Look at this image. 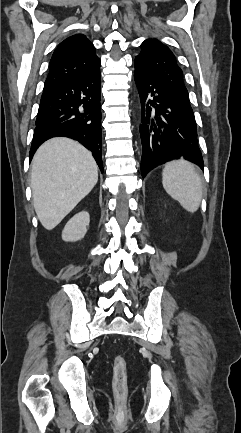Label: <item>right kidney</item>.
<instances>
[{"instance_id":"right-kidney-1","label":"right kidney","mask_w":241,"mask_h":433,"mask_svg":"<svg viewBox=\"0 0 241 433\" xmlns=\"http://www.w3.org/2000/svg\"><path fill=\"white\" fill-rule=\"evenodd\" d=\"M90 216L87 211L75 214L65 225L62 239L66 242H75L84 238L89 226Z\"/></svg>"}]
</instances>
